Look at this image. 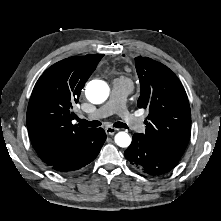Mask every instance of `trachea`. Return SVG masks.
Returning a JSON list of instances; mask_svg holds the SVG:
<instances>
[{
	"label": "trachea",
	"mask_w": 221,
	"mask_h": 221,
	"mask_svg": "<svg viewBox=\"0 0 221 221\" xmlns=\"http://www.w3.org/2000/svg\"><path fill=\"white\" fill-rule=\"evenodd\" d=\"M78 122L81 124V125H84V126H87V127H98L101 125V122L100 121H87L85 119H78ZM114 127L116 128H121V129H126L128 128L126 124L122 123V122H116L114 123L113 125Z\"/></svg>",
	"instance_id": "1"
}]
</instances>
